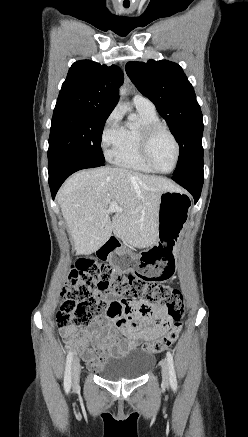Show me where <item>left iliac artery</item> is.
I'll return each instance as SVG.
<instances>
[{"label": "left iliac artery", "instance_id": "obj_1", "mask_svg": "<svg viewBox=\"0 0 248 437\" xmlns=\"http://www.w3.org/2000/svg\"><path fill=\"white\" fill-rule=\"evenodd\" d=\"M166 356H167V362H168L169 373H170V385L175 390L177 388V379L174 369L173 355L171 354L170 351H168Z\"/></svg>", "mask_w": 248, "mask_h": 437}]
</instances>
